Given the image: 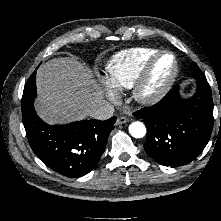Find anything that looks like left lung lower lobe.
Returning <instances> with one entry per match:
<instances>
[{
  "label": "left lung lower lobe",
  "mask_w": 221,
  "mask_h": 221,
  "mask_svg": "<svg viewBox=\"0 0 221 221\" xmlns=\"http://www.w3.org/2000/svg\"><path fill=\"white\" fill-rule=\"evenodd\" d=\"M197 91L182 99L173 87L157 104L142 108L134 116L147 127L146 153L158 163L177 167L190 163L207 145L213 128V100L204 76Z\"/></svg>",
  "instance_id": "0a47b994"
}]
</instances>
